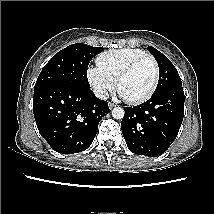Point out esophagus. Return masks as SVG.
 <instances>
[{
    "instance_id": "1",
    "label": "esophagus",
    "mask_w": 214,
    "mask_h": 214,
    "mask_svg": "<svg viewBox=\"0 0 214 214\" xmlns=\"http://www.w3.org/2000/svg\"><path fill=\"white\" fill-rule=\"evenodd\" d=\"M108 105H109V108H110V109H112V108L115 106V105H114L113 103H111V102H109Z\"/></svg>"
}]
</instances>
